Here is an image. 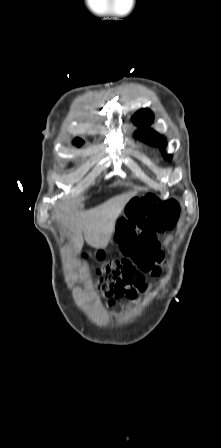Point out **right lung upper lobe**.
Returning a JSON list of instances; mask_svg holds the SVG:
<instances>
[{"label": "right lung upper lobe", "mask_w": 221, "mask_h": 448, "mask_svg": "<svg viewBox=\"0 0 221 448\" xmlns=\"http://www.w3.org/2000/svg\"><path fill=\"white\" fill-rule=\"evenodd\" d=\"M83 141L81 139H75L74 144L81 145Z\"/></svg>", "instance_id": "right-lung-upper-lobe-1"}]
</instances>
